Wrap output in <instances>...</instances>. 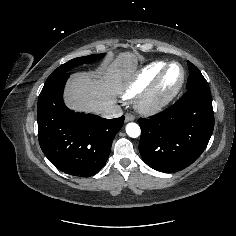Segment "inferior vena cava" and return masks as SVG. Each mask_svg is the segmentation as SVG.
Masks as SVG:
<instances>
[{
    "label": "inferior vena cava",
    "mask_w": 236,
    "mask_h": 236,
    "mask_svg": "<svg viewBox=\"0 0 236 236\" xmlns=\"http://www.w3.org/2000/svg\"><path fill=\"white\" fill-rule=\"evenodd\" d=\"M122 114V109L118 105L108 106L101 112V116L108 119L120 117Z\"/></svg>",
    "instance_id": "602c4592"
}]
</instances>
